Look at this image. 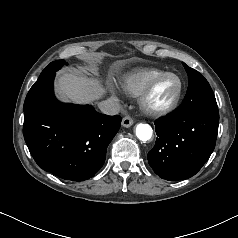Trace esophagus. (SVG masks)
<instances>
[{"label":"esophagus","instance_id":"1","mask_svg":"<svg viewBox=\"0 0 238 238\" xmlns=\"http://www.w3.org/2000/svg\"><path fill=\"white\" fill-rule=\"evenodd\" d=\"M133 123H134V120L130 116H126L122 120V126L126 128L132 126Z\"/></svg>","mask_w":238,"mask_h":238}]
</instances>
